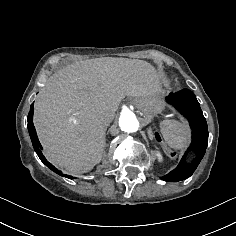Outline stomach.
Wrapping results in <instances>:
<instances>
[{"instance_id": "0dacf381", "label": "stomach", "mask_w": 236, "mask_h": 236, "mask_svg": "<svg viewBox=\"0 0 236 236\" xmlns=\"http://www.w3.org/2000/svg\"><path fill=\"white\" fill-rule=\"evenodd\" d=\"M164 92L160 88L153 96L143 100L146 108H151L154 111L160 112L164 108Z\"/></svg>"}]
</instances>
